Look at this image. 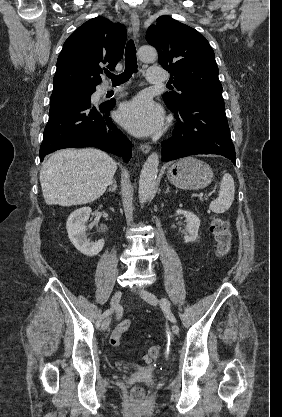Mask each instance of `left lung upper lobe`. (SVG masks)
Returning a JSON list of instances; mask_svg holds the SVG:
<instances>
[{"mask_svg":"<svg viewBox=\"0 0 282 417\" xmlns=\"http://www.w3.org/2000/svg\"><path fill=\"white\" fill-rule=\"evenodd\" d=\"M147 31L146 39L159 53V64L171 74L170 81L179 93L163 95L169 108H178L198 91L222 92L215 54L197 30L170 16H160Z\"/></svg>","mask_w":282,"mask_h":417,"instance_id":"obj_1","label":"left lung upper lobe"}]
</instances>
